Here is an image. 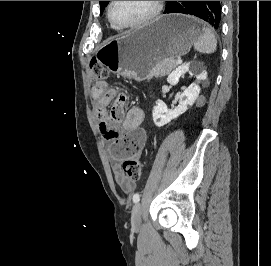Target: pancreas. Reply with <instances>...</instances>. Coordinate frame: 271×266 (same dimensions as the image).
I'll list each match as a JSON object with an SVG mask.
<instances>
[{
	"mask_svg": "<svg viewBox=\"0 0 271 266\" xmlns=\"http://www.w3.org/2000/svg\"><path fill=\"white\" fill-rule=\"evenodd\" d=\"M176 60L164 59L153 67L151 75L154 77H163L171 72L176 67Z\"/></svg>",
	"mask_w": 271,
	"mask_h": 266,
	"instance_id": "1",
	"label": "pancreas"
}]
</instances>
